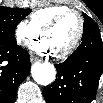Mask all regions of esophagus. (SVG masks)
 Here are the masks:
<instances>
[{
  "mask_svg": "<svg viewBox=\"0 0 103 103\" xmlns=\"http://www.w3.org/2000/svg\"><path fill=\"white\" fill-rule=\"evenodd\" d=\"M30 60H31V62L33 63V62L38 61V58H37L36 56H34V55H31V56H30Z\"/></svg>",
  "mask_w": 103,
  "mask_h": 103,
  "instance_id": "obj_1",
  "label": "esophagus"
}]
</instances>
